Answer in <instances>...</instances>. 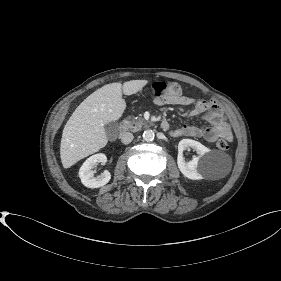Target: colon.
Instances as JSON below:
<instances>
[{
	"instance_id": "5ec220e1",
	"label": "colon",
	"mask_w": 281,
	"mask_h": 281,
	"mask_svg": "<svg viewBox=\"0 0 281 281\" xmlns=\"http://www.w3.org/2000/svg\"><path fill=\"white\" fill-rule=\"evenodd\" d=\"M180 92L181 86L177 82H156L151 88V94L155 98L179 95ZM217 147L220 150H227L229 148V141L227 139H220L217 142Z\"/></svg>"
}]
</instances>
